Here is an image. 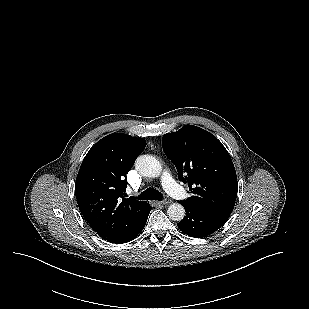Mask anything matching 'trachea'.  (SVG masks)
Instances as JSON below:
<instances>
[{"mask_svg": "<svg viewBox=\"0 0 309 309\" xmlns=\"http://www.w3.org/2000/svg\"><path fill=\"white\" fill-rule=\"evenodd\" d=\"M162 198L161 192L154 188H148L138 196L139 200H162Z\"/></svg>", "mask_w": 309, "mask_h": 309, "instance_id": "trachea-1", "label": "trachea"}]
</instances>
